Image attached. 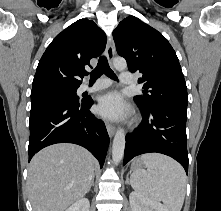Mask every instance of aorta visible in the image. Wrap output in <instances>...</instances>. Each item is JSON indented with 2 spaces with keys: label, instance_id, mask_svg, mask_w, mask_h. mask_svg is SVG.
<instances>
[{
  "label": "aorta",
  "instance_id": "aorta-1",
  "mask_svg": "<svg viewBox=\"0 0 221 211\" xmlns=\"http://www.w3.org/2000/svg\"><path fill=\"white\" fill-rule=\"evenodd\" d=\"M115 69L123 71L127 68V63L123 58H115L113 61ZM125 149V132L124 129L119 128L114 136L112 145V160L114 164H118L124 155Z\"/></svg>",
  "mask_w": 221,
  "mask_h": 211
}]
</instances>
